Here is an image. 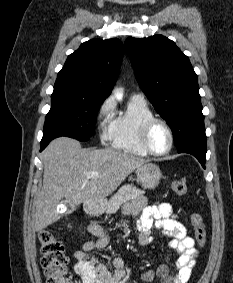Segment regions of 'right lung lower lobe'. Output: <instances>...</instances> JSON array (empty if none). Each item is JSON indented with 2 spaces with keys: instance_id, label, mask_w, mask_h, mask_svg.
<instances>
[{
  "instance_id": "98d812e1",
  "label": "right lung lower lobe",
  "mask_w": 233,
  "mask_h": 283,
  "mask_svg": "<svg viewBox=\"0 0 233 283\" xmlns=\"http://www.w3.org/2000/svg\"><path fill=\"white\" fill-rule=\"evenodd\" d=\"M48 144H49V142H42L41 141V144H40L41 149H40V151H42Z\"/></svg>"
}]
</instances>
